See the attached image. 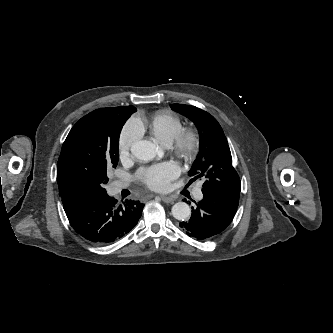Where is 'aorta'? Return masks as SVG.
Returning a JSON list of instances; mask_svg holds the SVG:
<instances>
[{
	"instance_id": "1",
	"label": "aorta",
	"mask_w": 333,
	"mask_h": 333,
	"mask_svg": "<svg viewBox=\"0 0 333 333\" xmlns=\"http://www.w3.org/2000/svg\"><path fill=\"white\" fill-rule=\"evenodd\" d=\"M132 154L139 160H152L157 154V147L148 140L135 142L131 147ZM172 215L177 220H187L191 215V209L185 202H177L172 207Z\"/></svg>"
}]
</instances>
